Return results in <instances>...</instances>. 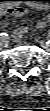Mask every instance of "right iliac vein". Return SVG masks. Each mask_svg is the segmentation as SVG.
I'll list each match as a JSON object with an SVG mask.
<instances>
[{"instance_id":"63e3f726","label":"right iliac vein","mask_w":50,"mask_h":111,"mask_svg":"<svg viewBox=\"0 0 50 111\" xmlns=\"http://www.w3.org/2000/svg\"><path fill=\"white\" fill-rule=\"evenodd\" d=\"M6 40H5V38L4 37H1L0 38V44H1V46H5L6 45Z\"/></svg>"}]
</instances>
